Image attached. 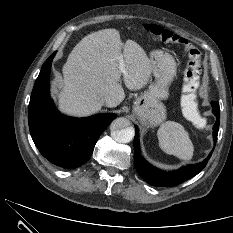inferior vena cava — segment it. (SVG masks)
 Here are the masks:
<instances>
[{
    "mask_svg": "<svg viewBox=\"0 0 233 233\" xmlns=\"http://www.w3.org/2000/svg\"><path fill=\"white\" fill-rule=\"evenodd\" d=\"M102 104L106 105L108 107H113L114 102L110 96H106L105 98L102 99Z\"/></svg>",
    "mask_w": 233,
    "mask_h": 233,
    "instance_id": "1",
    "label": "inferior vena cava"
}]
</instances>
